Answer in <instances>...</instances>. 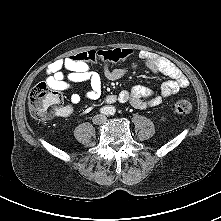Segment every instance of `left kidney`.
Segmentation results:
<instances>
[{
	"mask_svg": "<svg viewBox=\"0 0 221 221\" xmlns=\"http://www.w3.org/2000/svg\"><path fill=\"white\" fill-rule=\"evenodd\" d=\"M161 120H163V121H164V117H162V118H161Z\"/></svg>",
	"mask_w": 221,
	"mask_h": 221,
	"instance_id": "left-kidney-1",
	"label": "left kidney"
}]
</instances>
